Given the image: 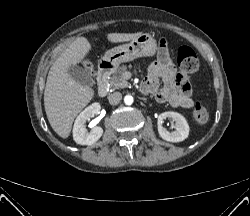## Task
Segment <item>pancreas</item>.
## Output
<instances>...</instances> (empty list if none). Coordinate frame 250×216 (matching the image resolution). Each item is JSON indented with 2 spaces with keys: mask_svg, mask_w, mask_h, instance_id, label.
<instances>
[{
  "mask_svg": "<svg viewBox=\"0 0 250 216\" xmlns=\"http://www.w3.org/2000/svg\"><path fill=\"white\" fill-rule=\"evenodd\" d=\"M127 70L126 66H121L114 71L112 76L109 78V86L113 89H121L129 86V83L123 77L124 72Z\"/></svg>",
  "mask_w": 250,
  "mask_h": 216,
  "instance_id": "obj_1",
  "label": "pancreas"
}]
</instances>
